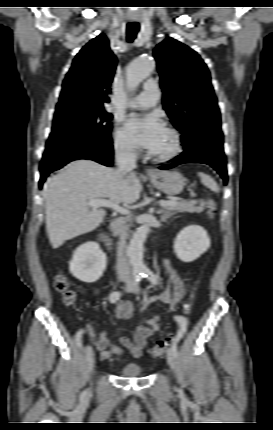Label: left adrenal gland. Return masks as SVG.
Wrapping results in <instances>:
<instances>
[{
	"mask_svg": "<svg viewBox=\"0 0 273 430\" xmlns=\"http://www.w3.org/2000/svg\"><path fill=\"white\" fill-rule=\"evenodd\" d=\"M172 215H173V213H171V212H165V213L162 215V219H163V220H167V219H168V218H170Z\"/></svg>",
	"mask_w": 273,
	"mask_h": 430,
	"instance_id": "1",
	"label": "left adrenal gland"
}]
</instances>
